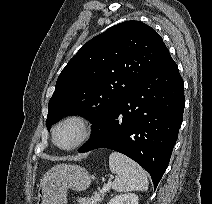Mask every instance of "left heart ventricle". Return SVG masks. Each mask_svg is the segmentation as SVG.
<instances>
[{
  "instance_id": "1",
  "label": "left heart ventricle",
  "mask_w": 212,
  "mask_h": 204,
  "mask_svg": "<svg viewBox=\"0 0 212 204\" xmlns=\"http://www.w3.org/2000/svg\"><path fill=\"white\" fill-rule=\"evenodd\" d=\"M79 137V128L75 124L61 126L56 132V141L61 146L72 145Z\"/></svg>"
}]
</instances>
